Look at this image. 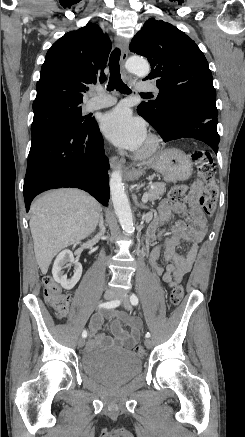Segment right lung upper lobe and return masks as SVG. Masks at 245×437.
Here are the masks:
<instances>
[{
	"mask_svg": "<svg viewBox=\"0 0 245 437\" xmlns=\"http://www.w3.org/2000/svg\"><path fill=\"white\" fill-rule=\"evenodd\" d=\"M111 41L97 24L70 31L48 50L33 108L50 103L81 104L87 85L106 79Z\"/></svg>",
	"mask_w": 245,
	"mask_h": 437,
	"instance_id": "cb5924a9",
	"label": "right lung upper lobe"
}]
</instances>
